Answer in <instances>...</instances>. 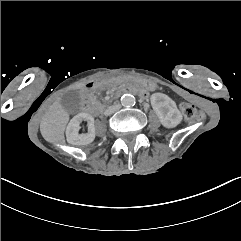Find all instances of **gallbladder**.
<instances>
[{"instance_id": "obj_1", "label": "gallbladder", "mask_w": 241, "mask_h": 241, "mask_svg": "<svg viewBox=\"0 0 241 241\" xmlns=\"http://www.w3.org/2000/svg\"><path fill=\"white\" fill-rule=\"evenodd\" d=\"M79 101V93L77 91H69L62 97V106L68 113L77 115L82 110V105Z\"/></svg>"}]
</instances>
